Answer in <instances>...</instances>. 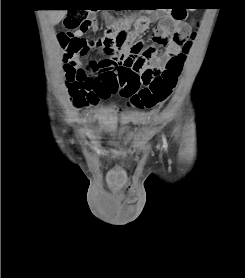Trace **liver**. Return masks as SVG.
<instances>
[{"label": "liver", "instance_id": "obj_1", "mask_svg": "<svg viewBox=\"0 0 245 278\" xmlns=\"http://www.w3.org/2000/svg\"><path fill=\"white\" fill-rule=\"evenodd\" d=\"M67 10H48V17L52 25L58 24L66 15Z\"/></svg>", "mask_w": 245, "mask_h": 278}]
</instances>
